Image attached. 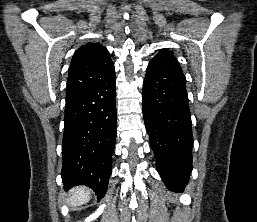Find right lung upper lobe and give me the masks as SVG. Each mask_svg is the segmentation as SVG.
<instances>
[{
  "label": "right lung upper lobe",
  "instance_id": "cb5924a9",
  "mask_svg": "<svg viewBox=\"0 0 257 222\" xmlns=\"http://www.w3.org/2000/svg\"><path fill=\"white\" fill-rule=\"evenodd\" d=\"M114 70L109 51L100 43H87L81 46L71 60L66 98L96 86Z\"/></svg>",
  "mask_w": 257,
  "mask_h": 222
}]
</instances>
